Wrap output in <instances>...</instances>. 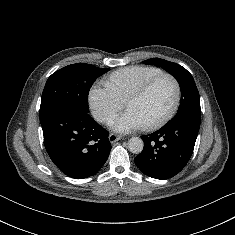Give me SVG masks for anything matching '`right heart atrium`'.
Returning <instances> with one entry per match:
<instances>
[{
  "label": "right heart atrium",
  "instance_id": "right-heart-atrium-1",
  "mask_svg": "<svg viewBox=\"0 0 235 235\" xmlns=\"http://www.w3.org/2000/svg\"><path fill=\"white\" fill-rule=\"evenodd\" d=\"M88 99L93 116L102 123L108 122L124 107V101L107 83H95L89 91Z\"/></svg>",
  "mask_w": 235,
  "mask_h": 235
}]
</instances>
